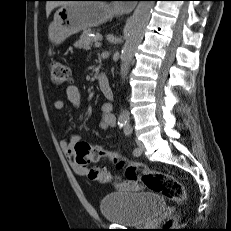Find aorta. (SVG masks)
Masks as SVG:
<instances>
[{
  "mask_svg": "<svg viewBox=\"0 0 231 231\" xmlns=\"http://www.w3.org/2000/svg\"><path fill=\"white\" fill-rule=\"evenodd\" d=\"M153 7L154 1H140L133 13L128 26L126 41L121 52V77L123 80L128 74L134 53L142 41ZM119 121L123 123L129 122L127 110L121 111Z\"/></svg>",
  "mask_w": 231,
  "mask_h": 231,
  "instance_id": "aorta-1",
  "label": "aorta"
}]
</instances>
